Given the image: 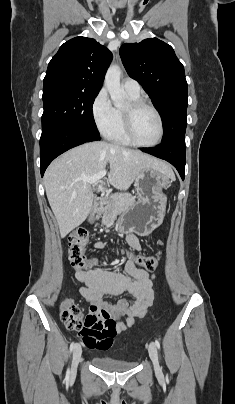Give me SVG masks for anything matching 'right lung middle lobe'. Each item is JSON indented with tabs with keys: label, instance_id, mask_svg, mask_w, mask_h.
<instances>
[{
	"label": "right lung middle lobe",
	"instance_id": "dd1d6c3e",
	"mask_svg": "<svg viewBox=\"0 0 235 404\" xmlns=\"http://www.w3.org/2000/svg\"><path fill=\"white\" fill-rule=\"evenodd\" d=\"M97 94L63 85L43 86L42 130L69 125L99 134L92 112Z\"/></svg>",
	"mask_w": 235,
	"mask_h": 404
}]
</instances>
